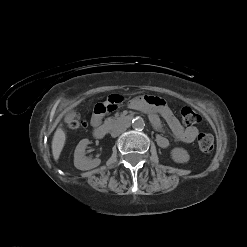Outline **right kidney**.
<instances>
[{"mask_svg":"<svg viewBox=\"0 0 247 247\" xmlns=\"http://www.w3.org/2000/svg\"><path fill=\"white\" fill-rule=\"evenodd\" d=\"M89 144L88 139H82L77 145L74 153V166L79 170H90L100 165V159H89L85 156V149Z\"/></svg>","mask_w":247,"mask_h":247,"instance_id":"obj_1","label":"right kidney"}]
</instances>
